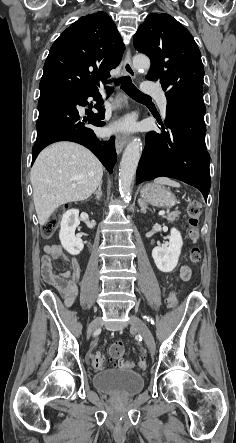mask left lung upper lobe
Masks as SVG:
<instances>
[{"label":"left lung upper lobe","mask_w":236,"mask_h":443,"mask_svg":"<svg viewBox=\"0 0 236 443\" xmlns=\"http://www.w3.org/2000/svg\"><path fill=\"white\" fill-rule=\"evenodd\" d=\"M134 47L146 54L151 67L148 80H159L165 95L202 92L204 68L191 33L168 14L151 13L133 38Z\"/></svg>","instance_id":"obj_1"}]
</instances>
